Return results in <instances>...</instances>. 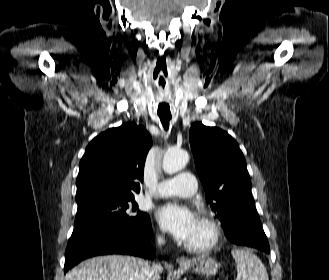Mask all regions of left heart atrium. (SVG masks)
I'll return each instance as SVG.
<instances>
[{"mask_svg": "<svg viewBox=\"0 0 329 280\" xmlns=\"http://www.w3.org/2000/svg\"><path fill=\"white\" fill-rule=\"evenodd\" d=\"M159 223L175 238L188 242L198 222L195 212L186 205L167 203L157 211Z\"/></svg>", "mask_w": 329, "mask_h": 280, "instance_id": "obj_1", "label": "left heart atrium"}]
</instances>
